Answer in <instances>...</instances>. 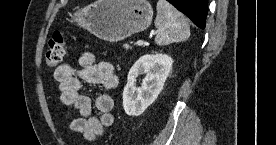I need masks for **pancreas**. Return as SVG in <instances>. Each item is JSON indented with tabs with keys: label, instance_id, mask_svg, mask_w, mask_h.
I'll return each instance as SVG.
<instances>
[{
	"label": "pancreas",
	"instance_id": "pancreas-1",
	"mask_svg": "<svg viewBox=\"0 0 276 145\" xmlns=\"http://www.w3.org/2000/svg\"><path fill=\"white\" fill-rule=\"evenodd\" d=\"M123 47H124L125 49H129V45H128V44H124Z\"/></svg>",
	"mask_w": 276,
	"mask_h": 145
}]
</instances>
